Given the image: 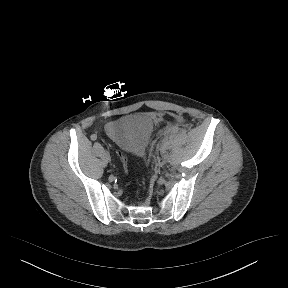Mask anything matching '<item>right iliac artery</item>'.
<instances>
[{"label":"right iliac artery","instance_id":"82829eb1","mask_svg":"<svg viewBox=\"0 0 288 288\" xmlns=\"http://www.w3.org/2000/svg\"><path fill=\"white\" fill-rule=\"evenodd\" d=\"M97 139V135L96 134H92L91 135V140L95 141Z\"/></svg>","mask_w":288,"mask_h":288}]
</instances>
